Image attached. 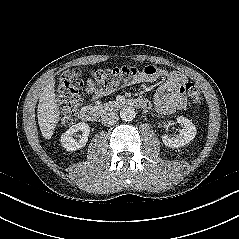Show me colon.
<instances>
[{
  "label": "colon",
  "mask_w": 239,
  "mask_h": 239,
  "mask_svg": "<svg viewBox=\"0 0 239 239\" xmlns=\"http://www.w3.org/2000/svg\"><path fill=\"white\" fill-rule=\"evenodd\" d=\"M91 74L98 88L112 89L132 81L136 77L137 71L132 66H122L96 69ZM82 75V70L73 69L64 72L59 79L57 97L61 105L62 121L66 125L73 124L78 116L81 102ZM182 88L187 92L191 104L199 105L201 103L202 95L198 87L192 83H187Z\"/></svg>",
  "instance_id": "1"
}]
</instances>
